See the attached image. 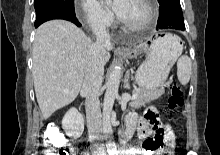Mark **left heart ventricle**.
Returning <instances> with one entry per match:
<instances>
[{
  "label": "left heart ventricle",
  "instance_id": "left-heart-ventricle-1",
  "mask_svg": "<svg viewBox=\"0 0 220 155\" xmlns=\"http://www.w3.org/2000/svg\"><path fill=\"white\" fill-rule=\"evenodd\" d=\"M147 17L145 6L139 0H131L129 9L123 21L129 24L137 25L142 23Z\"/></svg>",
  "mask_w": 220,
  "mask_h": 155
}]
</instances>
